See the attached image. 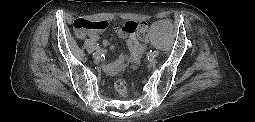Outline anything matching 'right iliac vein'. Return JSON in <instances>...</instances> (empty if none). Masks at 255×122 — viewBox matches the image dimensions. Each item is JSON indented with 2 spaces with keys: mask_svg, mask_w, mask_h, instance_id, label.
I'll use <instances>...</instances> for the list:
<instances>
[{
  "mask_svg": "<svg viewBox=\"0 0 255 122\" xmlns=\"http://www.w3.org/2000/svg\"><path fill=\"white\" fill-rule=\"evenodd\" d=\"M94 62L99 63L101 61V56L100 54H96L93 56Z\"/></svg>",
  "mask_w": 255,
  "mask_h": 122,
  "instance_id": "right-iliac-vein-1",
  "label": "right iliac vein"
}]
</instances>
